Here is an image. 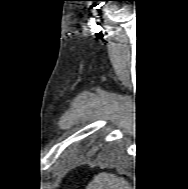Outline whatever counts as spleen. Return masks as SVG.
<instances>
[{"instance_id":"3e777b00","label":"spleen","mask_w":188,"mask_h":189,"mask_svg":"<svg viewBox=\"0 0 188 189\" xmlns=\"http://www.w3.org/2000/svg\"><path fill=\"white\" fill-rule=\"evenodd\" d=\"M87 189H129V186L123 178H118L113 174L100 173L94 177Z\"/></svg>"}]
</instances>
